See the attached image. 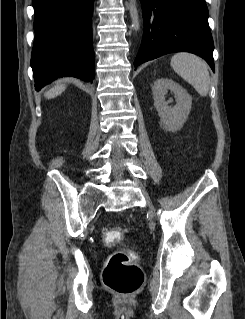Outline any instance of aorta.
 I'll use <instances>...</instances> for the list:
<instances>
[{
    "label": "aorta",
    "instance_id": "obj_1",
    "mask_svg": "<svg viewBox=\"0 0 245 319\" xmlns=\"http://www.w3.org/2000/svg\"><path fill=\"white\" fill-rule=\"evenodd\" d=\"M127 5L132 19V27L135 31H138L140 29V22L136 0H128Z\"/></svg>",
    "mask_w": 245,
    "mask_h": 319
}]
</instances>
